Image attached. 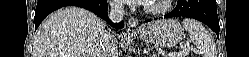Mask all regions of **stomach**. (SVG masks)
<instances>
[{"mask_svg": "<svg viewBox=\"0 0 249 57\" xmlns=\"http://www.w3.org/2000/svg\"><path fill=\"white\" fill-rule=\"evenodd\" d=\"M139 37L160 47H174L184 35V27L175 19L157 20L138 32Z\"/></svg>", "mask_w": 249, "mask_h": 57, "instance_id": "stomach-1", "label": "stomach"}]
</instances>
